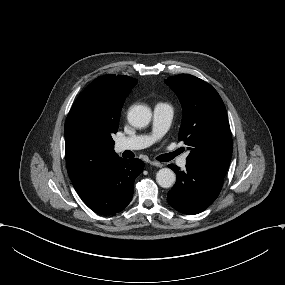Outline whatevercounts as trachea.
<instances>
[{"label":"trachea","mask_w":285,"mask_h":285,"mask_svg":"<svg viewBox=\"0 0 285 285\" xmlns=\"http://www.w3.org/2000/svg\"><path fill=\"white\" fill-rule=\"evenodd\" d=\"M158 160L162 161V162H167L168 161V160H166V158H164V155L159 156Z\"/></svg>","instance_id":"1"}]
</instances>
